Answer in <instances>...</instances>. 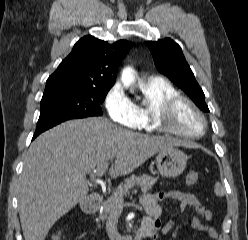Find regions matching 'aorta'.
<instances>
[{"mask_svg":"<svg viewBox=\"0 0 248 240\" xmlns=\"http://www.w3.org/2000/svg\"><path fill=\"white\" fill-rule=\"evenodd\" d=\"M121 81L125 87L131 86L135 81V70L132 67H125L121 73Z\"/></svg>","mask_w":248,"mask_h":240,"instance_id":"obj_1","label":"aorta"}]
</instances>
